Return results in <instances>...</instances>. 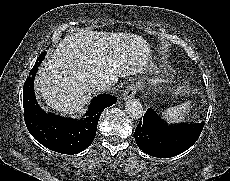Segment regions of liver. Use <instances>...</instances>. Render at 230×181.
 <instances>
[{"label":"liver","instance_id":"6515ba94","mask_svg":"<svg viewBox=\"0 0 230 181\" xmlns=\"http://www.w3.org/2000/svg\"><path fill=\"white\" fill-rule=\"evenodd\" d=\"M150 54L147 43L130 34L83 30L67 35L39 69L36 93L47 108L69 115L82 112L95 81L143 73Z\"/></svg>","mask_w":230,"mask_h":181}]
</instances>
